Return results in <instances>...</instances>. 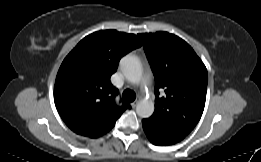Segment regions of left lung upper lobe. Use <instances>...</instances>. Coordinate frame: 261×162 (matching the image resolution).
<instances>
[{
    "label": "left lung upper lobe",
    "mask_w": 261,
    "mask_h": 162,
    "mask_svg": "<svg viewBox=\"0 0 261 162\" xmlns=\"http://www.w3.org/2000/svg\"><path fill=\"white\" fill-rule=\"evenodd\" d=\"M155 77V111L150 119L188 135L206 101L208 75L191 46L167 32L138 34ZM159 89L165 91L159 96Z\"/></svg>",
    "instance_id": "obj_1"
}]
</instances>
